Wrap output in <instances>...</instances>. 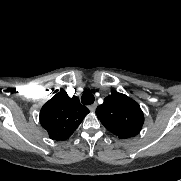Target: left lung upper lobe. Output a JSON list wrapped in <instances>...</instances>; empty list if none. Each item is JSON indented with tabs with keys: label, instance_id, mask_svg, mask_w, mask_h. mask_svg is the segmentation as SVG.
I'll return each mask as SVG.
<instances>
[{
	"label": "left lung upper lobe",
	"instance_id": "5c2ea615",
	"mask_svg": "<svg viewBox=\"0 0 181 181\" xmlns=\"http://www.w3.org/2000/svg\"><path fill=\"white\" fill-rule=\"evenodd\" d=\"M96 114L106 129L120 139L136 136L144 123L139 104L117 91H112L104 99L103 104L97 107Z\"/></svg>",
	"mask_w": 181,
	"mask_h": 181
}]
</instances>
